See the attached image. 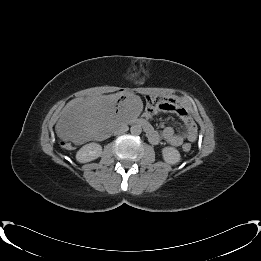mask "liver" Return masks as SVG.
Wrapping results in <instances>:
<instances>
[{
  "label": "liver",
  "instance_id": "6515ba94",
  "mask_svg": "<svg viewBox=\"0 0 261 261\" xmlns=\"http://www.w3.org/2000/svg\"><path fill=\"white\" fill-rule=\"evenodd\" d=\"M138 100L140 98L137 97ZM115 95L93 96L69 108L56 124V133L75 144L97 136L114 121Z\"/></svg>",
  "mask_w": 261,
  "mask_h": 261
}]
</instances>
